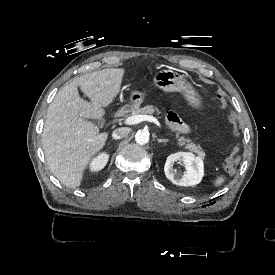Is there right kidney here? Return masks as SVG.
<instances>
[{"mask_svg": "<svg viewBox=\"0 0 275 275\" xmlns=\"http://www.w3.org/2000/svg\"><path fill=\"white\" fill-rule=\"evenodd\" d=\"M109 160V154L103 152L95 157L90 163V171L97 172L102 170Z\"/></svg>", "mask_w": 275, "mask_h": 275, "instance_id": "ca27d5eb", "label": "right kidney"}]
</instances>
